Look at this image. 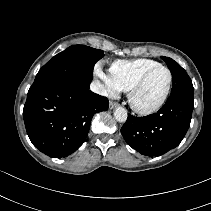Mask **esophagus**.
Masks as SVG:
<instances>
[{
	"instance_id": "esophagus-1",
	"label": "esophagus",
	"mask_w": 211,
	"mask_h": 211,
	"mask_svg": "<svg viewBox=\"0 0 211 211\" xmlns=\"http://www.w3.org/2000/svg\"><path fill=\"white\" fill-rule=\"evenodd\" d=\"M117 106H118V103L117 102H114V101H111L110 104H109L110 109H114Z\"/></svg>"
}]
</instances>
